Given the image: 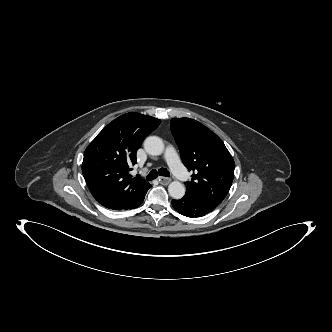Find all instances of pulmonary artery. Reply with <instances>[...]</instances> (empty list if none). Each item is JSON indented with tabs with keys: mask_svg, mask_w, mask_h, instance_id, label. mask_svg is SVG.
<instances>
[{
	"mask_svg": "<svg viewBox=\"0 0 332 332\" xmlns=\"http://www.w3.org/2000/svg\"><path fill=\"white\" fill-rule=\"evenodd\" d=\"M165 159L176 177H178L180 180L187 179V177H188L187 170L181 164V162L176 154V151L172 146H168L166 148Z\"/></svg>",
	"mask_w": 332,
	"mask_h": 332,
	"instance_id": "1",
	"label": "pulmonary artery"
}]
</instances>
